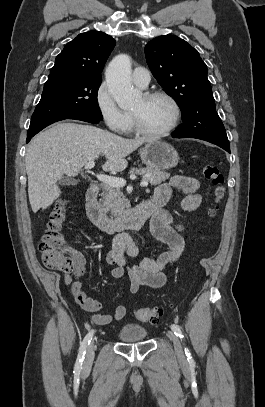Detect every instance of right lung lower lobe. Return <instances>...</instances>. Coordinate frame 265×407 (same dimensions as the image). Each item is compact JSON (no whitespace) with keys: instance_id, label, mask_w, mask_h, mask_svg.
<instances>
[{"instance_id":"right-lung-lower-lobe-1","label":"right lung lower lobe","mask_w":265,"mask_h":407,"mask_svg":"<svg viewBox=\"0 0 265 407\" xmlns=\"http://www.w3.org/2000/svg\"><path fill=\"white\" fill-rule=\"evenodd\" d=\"M71 119H77V120H82V121H86V122H90V123H94L97 124L99 123L100 120L91 118V117H86V116H80V117H75V118H71ZM34 135H27V142L30 141V139L33 137Z\"/></svg>"}]
</instances>
